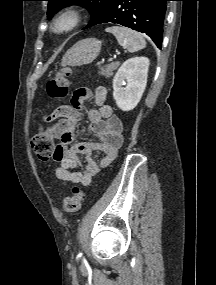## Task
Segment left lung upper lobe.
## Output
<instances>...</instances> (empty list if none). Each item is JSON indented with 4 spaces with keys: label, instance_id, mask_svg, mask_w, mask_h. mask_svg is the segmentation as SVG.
<instances>
[{
    "label": "left lung upper lobe",
    "instance_id": "left-lung-upper-lobe-1",
    "mask_svg": "<svg viewBox=\"0 0 216 285\" xmlns=\"http://www.w3.org/2000/svg\"><path fill=\"white\" fill-rule=\"evenodd\" d=\"M48 1V17H52L58 10L72 4H78L87 8L91 14L89 24L84 28H89L97 22L103 14L107 11L108 7L113 0H46Z\"/></svg>",
    "mask_w": 216,
    "mask_h": 285
}]
</instances>
